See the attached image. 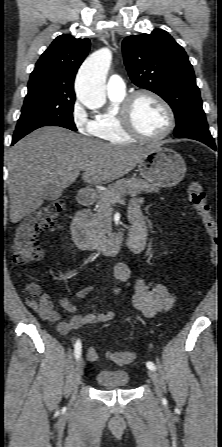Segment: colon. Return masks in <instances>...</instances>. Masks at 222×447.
<instances>
[{"mask_svg":"<svg viewBox=\"0 0 222 447\" xmlns=\"http://www.w3.org/2000/svg\"><path fill=\"white\" fill-rule=\"evenodd\" d=\"M188 197L211 238L210 257L211 263L214 264L218 228L202 185L196 181L191 182L188 186ZM64 208V200L57 199L36 210L20 222L14 232L12 241V259L17 265L26 266L42 258L44 251L38 240V234L54 225ZM25 293L28 302H36L40 296L41 288L37 283L30 282L25 288ZM107 357L118 365H124L132 363L135 354L131 351H114L109 352Z\"/></svg>","mask_w":222,"mask_h":447,"instance_id":"5ec220e1","label":"colon"}]
</instances>
